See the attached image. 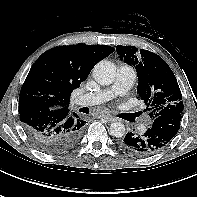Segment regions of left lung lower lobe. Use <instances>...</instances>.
Instances as JSON below:
<instances>
[{
	"mask_svg": "<svg viewBox=\"0 0 197 197\" xmlns=\"http://www.w3.org/2000/svg\"><path fill=\"white\" fill-rule=\"evenodd\" d=\"M181 113L156 118L143 135L129 132L119 141V148L136 158H145L162 150L180 128Z\"/></svg>",
	"mask_w": 197,
	"mask_h": 197,
	"instance_id": "1",
	"label": "left lung lower lobe"
}]
</instances>
